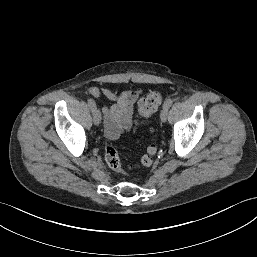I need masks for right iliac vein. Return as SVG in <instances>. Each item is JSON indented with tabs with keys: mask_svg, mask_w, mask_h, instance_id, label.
I'll list each match as a JSON object with an SVG mask.
<instances>
[{
	"mask_svg": "<svg viewBox=\"0 0 257 257\" xmlns=\"http://www.w3.org/2000/svg\"><path fill=\"white\" fill-rule=\"evenodd\" d=\"M93 122L95 125H99L101 122V113L98 109L93 111Z\"/></svg>",
	"mask_w": 257,
	"mask_h": 257,
	"instance_id": "right-iliac-vein-1",
	"label": "right iliac vein"
}]
</instances>
